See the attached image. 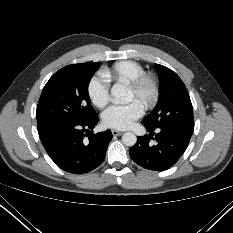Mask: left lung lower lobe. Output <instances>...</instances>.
I'll list each match as a JSON object with an SVG mask.
<instances>
[{
	"instance_id": "1",
	"label": "left lung lower lobe",
	"mask_w": 233,
	"mask_h": 233,
	"mask_svg": "<svg viewBox=\"0 0 233 233\" xmlns=\"http://www.w3.org/2000/svg\"><path fill=\"white\" fill-rule=\"evenodd\" d=\"M146 127V126H145ZM150 135L138 137L136 144L130 149L132 160L139 166L153 171H164L172 167L186 150L193 129L182 127L158 128L146 127ZM156 140L155 144L150 142Z\"/></svg>"
}]
</instances>
